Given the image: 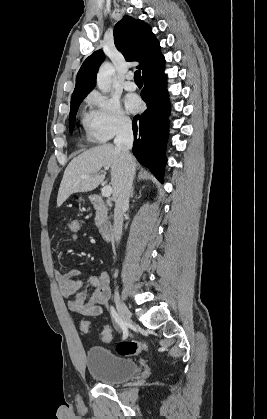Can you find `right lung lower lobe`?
Returning <instances> with one entry per match:
<instances>
[{
    "label": "right lung lower lobe",
    "mask_w": 267,
    "mask_h": 419,
    "mask_svg": "<svg viewBox=\"0 0 267 419\" xmlns=\"http://www.w3.org/2000/svg\"><path fill=\"white\" fill-rule=\"evenodd\" d=\"M165 61L143 74L141 97L147 109L132 122L134 132L133 154L137 160L163 182L166 164L165 150L168 138L170 105L164 74Z\"/></svg>",
    "instance_id": "98d812e1"
}]
</instances>
